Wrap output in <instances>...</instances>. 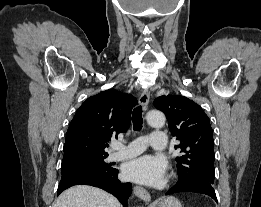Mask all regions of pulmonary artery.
Masks as SVG:
<instances>
[{"label": "pulmonary artery", "mask_w": 261, "mask_h": 207, "mask_svg": "<svg viewBox=\"0 0 261 207\" xmlns=\"http://www.w3.org/2000/svg\"><path fill=\"white\" fill-rule=\"evenodd\" d=\"M148 142L154 149L163 150L166 147V135L162 131H154L150 134L149 138H137L126 146L114 144L113 148L115 152L109 155V160L119 161L137 156L145 150Z\"/></svg>", "instance_id": "obj_1"}]
</instances>
